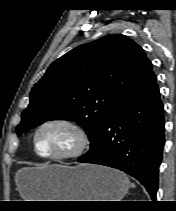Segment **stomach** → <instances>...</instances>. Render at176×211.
<instances>
[{
    "instance_id": "0dacf381",
    "label": "stomach",
    "mask_w": 176,
    "mask_h": 211,
    "mask_svg": "<svg viewBox=\"0 0 176 211\" xmlns=\"http://www.w3.org/2000/svg\"><path fill=\"white\" fill-rule=\"evenodd\" d=\"M16 183L26 201H120L129 188L121 171L92 164L26 168Z\"/></svg>"
}]
</instances>
